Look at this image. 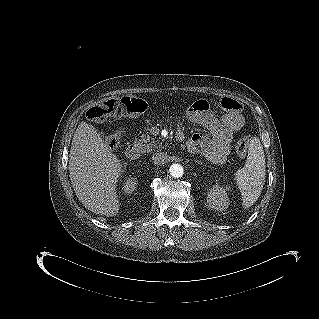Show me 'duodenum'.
<instances>
[{"label":"duodenum","mask_w":319,"mask_h":319,"mask_svg":"<svg viewBox=\"0 0 319 319\" xmlns=\"http://www.w3.org/2000/svg\"><path fill=\"white\" fill-rule=\"evenodd\" d=\"M177 139L182 140L183 133L177 134ZM140 154H141L140 147L137 144H131L126 150V156L132 160L138 159L140 157Z\"/></svg>","instance_id":"obj_1"}]
</instances>
